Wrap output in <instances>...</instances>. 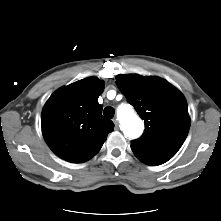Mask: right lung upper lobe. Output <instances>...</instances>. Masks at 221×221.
I'll use <instances>...</instances> for the list:
<instances>
[{
	"instance_id": "cb5924a9",
	"label": "right lung upper lobe",
	"mask_w": 221,
	"mask_h": 221,
	"mask_svg": "<svg viewBox=\"0 0 221 221\" xmlns=\"http://www.w3.org/2000/svg\"><path fill=\"white\" fill-rule=\"evenodd\" d=\"M104 83L86 78L58 89L42 110L43 137L60 158L73 163L95 156L113 131L114 124L102 116L98 97Z\"/></svg>"
}]
</instances>
